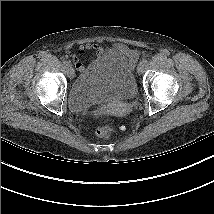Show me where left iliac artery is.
I'll list each match as a JSON object with an SVG mask.
<instances>
[{
    "instance_id": "44dca946",
    "label": "left iliac artery",
    "mask_w": 214,
    "mask_h": 214,
    "mask_svg": "<svg viewBox=\"0 0 214 214\" xmlns=\"http://www.w3.org/2000/svg\"><path fill=\"white\" fill-rule=\"evenodd\" d=\"M141 62H142L144 65L148 63L147 59H143Z\"/></svg>"
}]
</instances>
